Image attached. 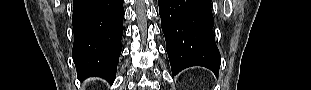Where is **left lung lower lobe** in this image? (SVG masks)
Returning <instances> with one entry per match:
<instances>
[{"label": "left lung lower lobe", "mask_w": 311, "mask_h": 90, "mask_svg": "<svg viewBox=\"0 0 311 90\" xmlns=\"http://www.w3.org/2000/svg\"><path fill=\"white\" fill-rule=\"evenodd\" d=\"M173 75L191 66L219 72L221 57L212 33L211 0H158Z\"/></svg>", "instance_id": "left-lung-lower-lobe-1"}]
</instances>
